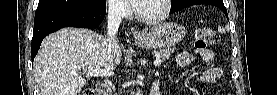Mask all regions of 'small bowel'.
<instances>
[{
    "label": "small bowel",
    "mask_w": 277,
    "mask_h": 95,
    "mask_svg": "<svg viewBox=\"0 0 277 95\" xmlns=\"http://www.w3.org/2000/svg\"><path fill=\"white\" fill-rule=\"evenodd\" d=\"M195 56L201 57L206 63L214 62V54L211 50H194V51H182L176 58V64L178 67H184ZM223 76V70L220 67H212L202 76V80L205 82H213Z\"/></svg>",
    "instance_id": "c3829d8e"
}]
</instances>
